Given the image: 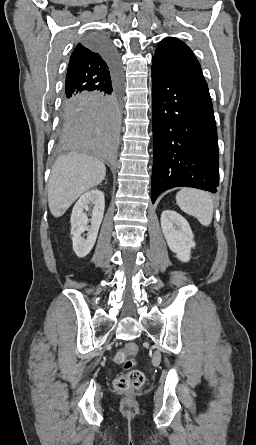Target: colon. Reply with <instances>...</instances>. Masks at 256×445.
Returning a JSON list of instances; mask_svg holds the SVG:
<instances>
[{
  "label": "colon",
  "mask_w": 256,
  "mask_h": 445,
  "mask_svg": "<svg viewBox=\"0 0 256 445\" xmlns=\"http://www.w3.org/2000/svg\"><path fill=\"white\" fill-rule=\"evenodd\" d=\"M137 352V346L128 343L115 355V361L121 364L126 371L116 377L114 381L116 390L121 392H132L139 389L144 384V373L140 370L133 369Z\"/></svg>",
  "instance_id": "obj_1"
}]
</instances>
